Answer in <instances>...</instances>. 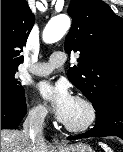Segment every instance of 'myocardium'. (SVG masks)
Listing matches in <instances>:
<instances>
[{
  "label": "myocardium",
  "instance_id": "f54148a6",
  "mask_svg": "<svg viewBox=\"0 0 123 152\" xmlns=\"http://www.w3.org/2000/svg\"><path fill=\"white\" fill-rule=\"evenodd\" d=\"M76 101H79L82 103L86 110H87V118L86 120L81 124H70L66 121L63 122L64 127L73 133H83L88 131L96 122L97 120V109L94 105V103L89 99L87 96L78 94L74 97Z\"/></svg>",
  "mask_w": 123,
  "mask_h": 152
}]
</instances>
